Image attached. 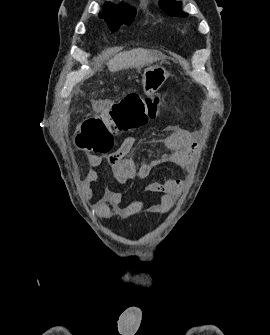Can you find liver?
<instances>
[{"label":"liver","mask_w":270,"mask_h":335,"mask_svg":"<svg viewBox=\"0 0 270 335\" xmlns=\"http://www.w3.org/2000/svg\"><path fill=\"white\" fill-rule=\"evenodd\" d=\"M154 56L150 50H143V48H136V50H130V52H120L114 58H111L107 62L108 70L110 72H117V70H126V68H139L144 64H150L159 58Z\"/></svg>","instance_id":"liver-1"}]
</instances>
